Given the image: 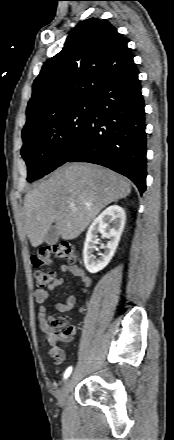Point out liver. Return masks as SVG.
Wrapping results in <instances>:
<instances>
[{"label":"liver","mask_w":174,"mask_h":440,"mask_svg":"<svg viewBox=\"0 0 174 440\" xmlns=\"http://www.w3.org/2000/svg\"><path fill=\"white\" fill-rule=\"evenodd\" d=\"M130 192V183L110 169L89 163H66L26 193L24 230L33 247L45 241L53 223L62 239H75L103 208ZM70 203L75 206L70 207Z\"/></svg>","instance_id":"6515ba94"}]
</instances>
